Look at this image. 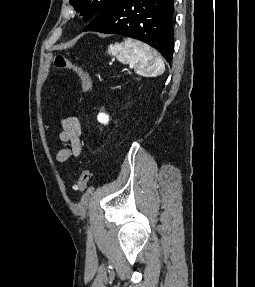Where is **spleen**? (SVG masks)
Segmentation results:
<instances>
[{
	"mask_svg": "<svg viewBox=\"0 0 255 287\" xmlns=\"http://www.w3.org/2000/svg\"><path fill=\"white\" fill-rule=\"evenodd\" d=\"M119 52L122 62H129L136 66L138 74H145L147 78L161 76L165 70L164 62L159 58L157 52L150 46L137 42V40H125L123 44L109 46V54Z\"/></svg>",
	"mask_w": 255,
	"mask_h": 287,
	"instance_id": "1",
	"label": "spleen"
}]
</instances>
